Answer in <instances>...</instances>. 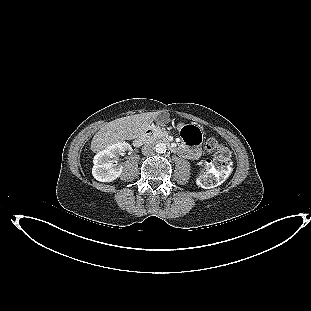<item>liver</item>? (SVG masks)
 <instances>
[{
  "mask_svg": "<svg viewBox=\"0 0 311 311\" xmlns=\"http://www.w3.org/2000/svg\"><path fill=\"white\" fill-rule=\"evenodd\" d=\"M157 116V112H147L113 120L94 135L90 149L96 153L119 141L135 139L149 128Z\"/></svg>",
  "mask_w": 311,
  "mask_h": 311,
  "instance_id": "obj_1",
  "label": "liver"
}]
</instances>
